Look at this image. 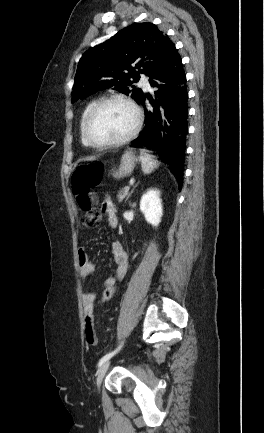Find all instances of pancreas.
<instances>
[{
	"label": "pancreas",
	"mask_w": 264,
	"mask_h": 433,
	"mask_svg": "<svg viewBox=\"0 0 264 433\" xmlns=\"http://www.w3.org/2000/svg\"><path fill=\"white\" fill-rule=\"evenodd\" d=\"M126 196L127 193L124 190H120L117 195L119 202H122Z\"/></svg>",
	"instance_id": "1"
}]
</instances>
